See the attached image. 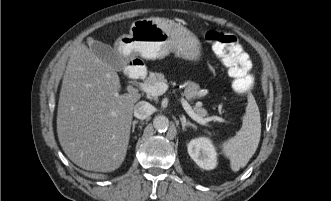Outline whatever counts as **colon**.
<instances>
[{
	"label": "colon",
	"mask_w": 331,
	"mask_h": 201,
	"mask_svg": "<svg viewBox=\"0 0 331 201\" xmlns=\"http://www.w3.org/2000/svg\"><path fill=\"white\" fill-rule=\"evenodd\" d=\"M206 39L227 67L233 89L240 95L248 96L253 89L254 78L250 73L249 57L237 38L226 32L211 30L206 34Z\"/></svg>",
	"instance_id": "5ec220e1"
}]
</instances>
